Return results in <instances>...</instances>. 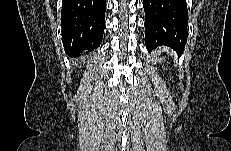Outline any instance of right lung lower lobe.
I'll return each instance as SVG.
<instances>
[{
  "label": "right lung lower lobe",
  "mask_w": 231,
  "mask_h": 151,
  "mask_svg": "<svg viewBox=\"0 0 231 151\" xmlns=\"http://www.w3.org/2000/svg\"><path fill=\"white\" fill-rule=\"evenodd\" d=\"M106 0H63L62 41L67 55L94 50L102 41Z\"/></svg>",
  "instance_id": "98d812e1"
}]
</instances>
